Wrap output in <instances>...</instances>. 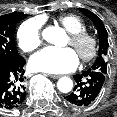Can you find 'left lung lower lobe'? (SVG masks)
Wrapping results in <instances>:
<instances>
[{
  "mask_svg": "<svg viewBox=\"0 0 117 117\" xmlns=\"http://www.w3.org/2000/svg\"><path fill=\"white\" fill-rule=\"evenodd\" d=\"M76 86L72 93L65 97L66 104L74 107H85L93 104L104 87L106 74L88 69L74 76Z\"/></svg>",
  "mask_w": 117,
  "mask_h": 117,
  "instance_id": "obj_1",
  "label": "left lung lower lobe"
}]
</instances>
